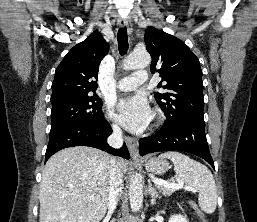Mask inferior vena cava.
<instances>
[{
    "mask_svg": "<svg viewBox=\"0 0 257 222\" xmlns=\"http://www.w3.org/2000/svg\"><path fill=\"white\" fill-rule=\"evenodd\" d=\"M113 133L108 137L107 142L113 148H120L123 145L122 130L118 125H113ZM110 191L108 196V211L112 213L117 204L120 193L123 189V176L118 169L116 159L110 158L109 167Z\"/></svg>",
    "mask_w": 257,
    "mask_h": 222,
    "instance_id": "inferior-vena-cava-1",
    "label": "inferior vena cava"
}]
</instances>
